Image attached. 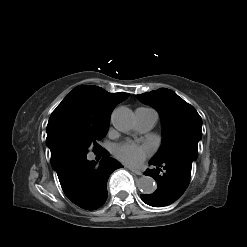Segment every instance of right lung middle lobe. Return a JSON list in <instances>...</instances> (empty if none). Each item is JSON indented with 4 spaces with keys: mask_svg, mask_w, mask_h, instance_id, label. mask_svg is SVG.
Segmentation results:
<instances>
[{
    "mask_svg": "<svg viewBox=\"0 0 247 247\" xmlns=\"http://www.w3.org/2000/svg\"><path fill=\"white\" fill-rule=\"evenodd\" d=\"M109 120L94 119L72 106H64L53 115L48 127V144L55 150L87 154L101 148L98 141L106 136Z\"/></svg>",
    "mask_w": 247,
    "mask_h": 247,
    "instance_id": "obj_1",
    "label": "right lung middle lobe"
}]
</instances>
